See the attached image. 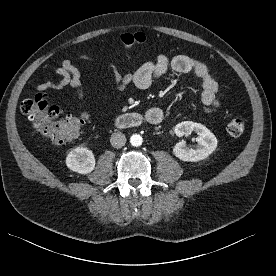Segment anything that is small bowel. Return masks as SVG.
<instances>
[{
  "label": "small bowel",
  "instance_id": "1",
  "mask_svg": "<svg viewBox=\"0 0 276 276\" xmlns=\"http://www.w3.org/2000/svg\"><path fill=\"white\" fill-rule=\"evenodd\" d=\"M79 59L90 61L91 57L81 55ZM109 68L115 86L119 90H123L129 85H134L140 90H145L150 87L155 78L165 75L168 71H174L180 74H192L202 85V111L209 113L216 110L219 106V84L217 79L211 74L205 62L187 55H176L172 58L166 55H159L155 60L143 64L135 72L129 74L120 73L116 64L113 62L109 63ZM55 73L59 78L38 84L36 87L37 91L59 90L69 85L75 90L80 99L83 98L80 71L70 60H63L61 65L55 69ZM145 116L157 120L159 118L162 119L163 113L160 108L151 107L146 110Z\"/></svg>",
  "mask_w": 276,
  "mask_h": 276
}]
</instances>
